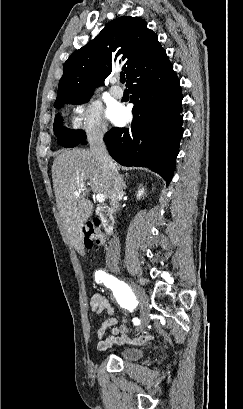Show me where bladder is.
<instances>
[{
    "mask_svg": "<svg viewBox=\"0 0 243 409\" xmlns=\"http://www.w3.org/2000/svg\"><path fill=\"white\" fill-rule=\"evenodd\" d=\"M143 356V351L137 347H125L117 352V357L124 362L139 360Z\"/></svg>",
    "mask_w": 243,
    "mask_h": 409,
    "instance_id": "1",
    "label": "bladder"
}]
</instances>
